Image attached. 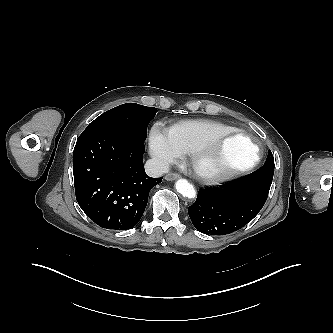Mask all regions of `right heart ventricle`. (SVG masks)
I'll list each match as a JSON object with an SVG mask.
<instances>
[{
	"label": "right heart ventricle",
	"mask_w": 333,
	"mask_h": 333,
	"mask_svg": "<svg viewBox=\"0 0 333 333\" xmlns=\"http://www.w3.org/2000/svg\"><path fill=\"white\" fill-rule=\"evenodd\" d=\"M234 128L209 119L184 120L174 124L170 131L184 153H191L213 137Z\"/></svg>",
	"instance_id": "right-heart-ventricle-1"
}]
</instances>
